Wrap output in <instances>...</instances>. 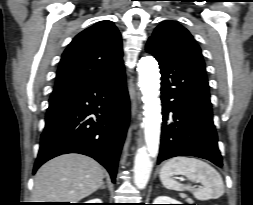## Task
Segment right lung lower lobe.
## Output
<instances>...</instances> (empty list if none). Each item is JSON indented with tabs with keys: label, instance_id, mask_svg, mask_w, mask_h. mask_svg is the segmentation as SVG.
<instances>
[{
	"label": "right lung lower lobe",
	"instance_id": "right-lung-lower-lobe-1",
	"mask_svg": "<svg viewBox=\"0 0 253 205\" xmlns=\"http://www.w3.org/2000/svg\"><path fill=\"white\" fill-rule=\"evenodd\" d=\"M124 68L99 80L52 93L34 170L65 153L90 156L115 182L129 121Z\"/></svg>",
	"mask_w": 253,
	"mask_h": 205
}]
</instances>
